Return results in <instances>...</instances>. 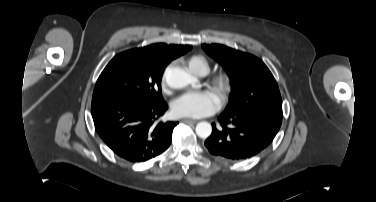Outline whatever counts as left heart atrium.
I'll return each instance as SVG.
<instances>
[{
    "label": "left heart atrium",
    "mask_w": 376,
    "mask_h": 202,
    "mask_svg": "<svg viewBox=\"0 0 376 202\" xmlns=\"http://www.w3.org/2000/svg\"><path fill=\"white\" fill-rule=\"evenodd\" d=\"M219 99L209 90L189 91L172 102L171 110L176 117L201 118L216 112Z\"/></svg>",
    "instance_id": "left-heart-atrium-1"
}]
</instances>
